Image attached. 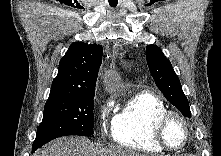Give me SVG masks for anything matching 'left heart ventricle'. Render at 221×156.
I'll return each instance as SVG.
<instances>
[{"mask_svg": "<svg viewBox=\"0 0 221 156\" xmlns=\"http://www.w3.org/2000/svg\"><path fill=\"white\" fill-rule=\"evenodd\" d=\"M165 139L171 147H179L185 139V128L178 118H171L165 128Z\"/></svg>", "mask_w": 221, "mask_h": 156, "instance_id": "1", "label": "left heart ventricle"}]
</instances>
